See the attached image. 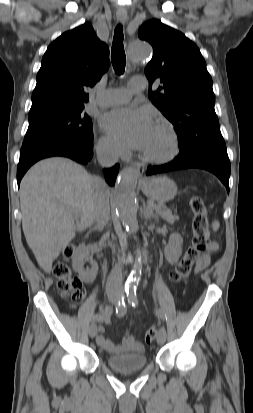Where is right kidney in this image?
<instances>
[{
	"instance_id": "right-kidney-1",
	"label": "right kidney",
	"mask_w": 253,
	"mask_h": 413,
	"mask_svg": "<svg viewBox=\"0 0 253 413\" xmlns=\"http://www.w3.org/2000/svg\"><path fill=\"white\" fill-rule=\"evenodd\" d=\"M84 260H90L91 268H84ZM72 266L73 269L78 272L80 279L85 282H92L98 273V264L93 261L92 257L89 255L88 249L85 245H80L74 255L72 256Z\"/></svg>"
}]
</instances>
